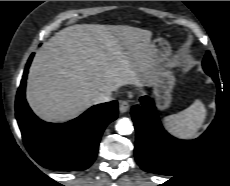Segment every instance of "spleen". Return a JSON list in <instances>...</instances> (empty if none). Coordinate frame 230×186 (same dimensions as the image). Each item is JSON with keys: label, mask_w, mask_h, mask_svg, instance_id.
<instances>
[{"label": "spleen", "mask_w": 230, "mask_h": 186, "mask_svg": "<svg viewBox=\"0 0 230 186\" xmlns=\"http://www.w3.org/2000/svg\"><path fill=\"white\" fill-rule=\"evenodd\" d=\"M206 118V108L197 99L187 109L164 118L167 130L180 138H193Z\"/></svg>", "instance_id": "obj_1"}]
</instances>
